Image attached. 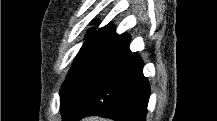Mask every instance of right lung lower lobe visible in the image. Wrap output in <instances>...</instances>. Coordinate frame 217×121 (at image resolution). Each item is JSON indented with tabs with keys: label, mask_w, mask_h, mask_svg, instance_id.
<instances>
[{
	"label": "right lung lower lobe",
	"mask_w": 217,
	"mask_h": 121,
	"mask_svg": "<svg viewBox=\"0 0 217 121\" xmlns=\"http://www.w3.org/2000/svg\"><path fill=\"white\" fill-rule=\"evenodd\" d=\"M130 36H118L95 63L60 95L65 121L98 115L116 121H145L150 86L143 62L129 50Z\"/></svg>",
	"instance_id": "right-lung-lower-lobe-1"
}]
</instances>
